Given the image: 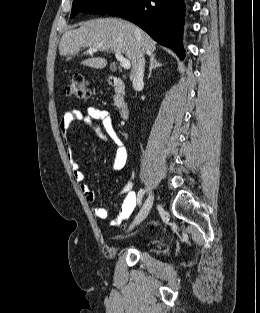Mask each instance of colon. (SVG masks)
Here are the masks:
<instances>
[{
    "instance_id": "5ec220e1",
    "label": "colon",
    "mask_w": 260,
    "mask_h": 313,
    "mask_svg": "<svg viewBox=\"0 0 260 313\" xmlns=\"http://www.w3.org/2000/svg\"><path fill=\"white\" fill-rule=\"evenodd\" d=\"M65 95L69 97H76L81 99L89 98L91 91L88 82L83 76H74L65 86Z\"/></svg>"
}]
</instances>
